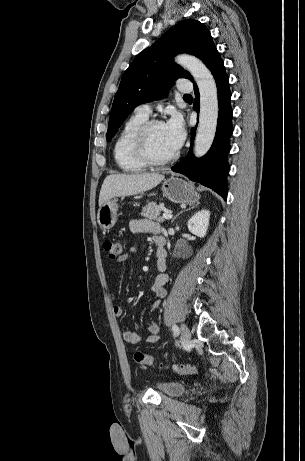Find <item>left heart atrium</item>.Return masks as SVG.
<instances>
[{"mask_svg":"<svg viewBox=\"0 0 305 461\" xmlns=\"http://www.w3.org/2000/svg\"><path fill=\"white\" fill-rule=\"evenodd\" d=\"M167 138L175 150H178L185 139L186 132L183 120L180 115L174 114L164 124Z\"/></svg>","mask_w":305,"mask_h":461,"instance_id":"1","label":"left heart atrium"}]
</instances>
